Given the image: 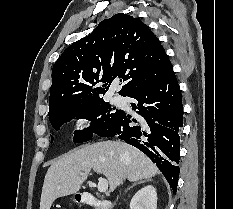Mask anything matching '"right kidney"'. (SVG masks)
<instances>
[{
  "label": "right kidney",
  "mask_w": 233,
  "mask_h": 209,
  "mask_svg": "<svg viewBox=\"0 0 233 209\" xmlns=\"http://www.w3.org/2000/svg\"><path fill=\"white\" fill-rule=\"evenodd\" d=\"M130 209H157V192L147 185L136 192L130 202Z\"/></svg>",
  "instance_id": "1"
}]
</instances>
